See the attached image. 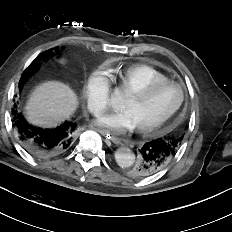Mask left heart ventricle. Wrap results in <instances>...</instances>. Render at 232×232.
I'll return each mask as SVG.
<instances>
[{
	"label": "left heart ventricle",
	"instance_id": "b2bd125f",
	"mask_svg": "<svg viewBox=\"0 0 232 232\" xmlns=\"http://www.w3.org/2000/svg\"><path fill=\"white\" fill-rule=\"evenodd\" d=\"M179 99V88L166 86L156 90L144 100L127 96L121 108L132 114L136 127H141L159 121L175 107Z\"/></svg>",
	"mask_w": 232,
	"mask_h": 232
}]
</instances>
